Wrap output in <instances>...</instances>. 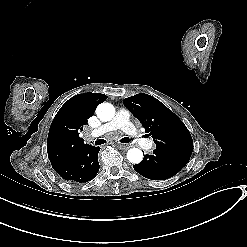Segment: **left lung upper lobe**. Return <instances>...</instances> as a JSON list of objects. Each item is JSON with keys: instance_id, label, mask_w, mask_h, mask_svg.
<instances>
[{"instance_id": "obj_1", "label": "left lung upper lobe", "mask_w": 247, "mask_h": 247, "mask_svg": "<svg viewBox=\"0 0 247 247\" xmlns=\"http://www.w3.org/2000/svg\"><path fill=\"white\" fill-rule=\"evenodd\" d=\"M124 105L142 123L148 136H152L156 149L189 161L193 141L180 118L159 100L140 93L125 98Z\"/></svg>"}]
</instances>
